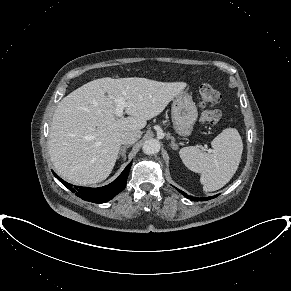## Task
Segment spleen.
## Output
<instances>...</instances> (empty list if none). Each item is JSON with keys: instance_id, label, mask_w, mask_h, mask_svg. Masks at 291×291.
<instances>
[{"instance_id": "3e777b00", "label": "spleen", "mask_w": 291, "mask_h": 291, "mask_svg": "<svg viewBox=\"0 0 291 291\" xmlns=\"http://www.w3.org/2000/svg\"><path fill=\"white\" fill-rule=\"evenodd\" d=\"M211 145L212 154L194 146L179 151L185 166L201 174L200 182L205 192L216 191L230 181L238 169L243 151V142L236 128L224 129Z\"/></svg>"}]
</instances>
